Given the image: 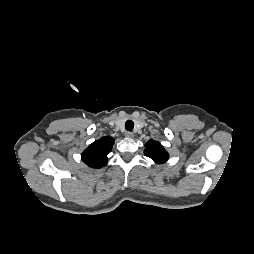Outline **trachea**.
<instances>
[{
  "label": "trachea",
  "mask_w": 254,
  "mask_h": 254,
  "mask_svg": "<svg viewBox=\"0 0 254 254\" xmlns=\"http://www.w3.org/2000/svg\"><path fill=\"white\" fill-rule=\"evenodd\" d=\"M125 128L126 130L128 131H132L133 128H134V123L132 120H127L126 123H125Z\"/></svg>",
  "instance_id": "1"
}]
</instances>
